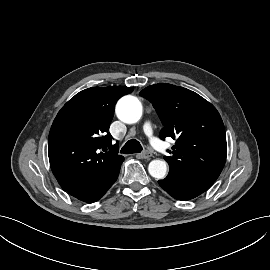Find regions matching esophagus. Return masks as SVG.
Instances as JSON below:
<instances>
[{"instance_id":"esophagus-1","label":"esophagus","mask_w":270,"mask_h":270,"mask_svg":"<svg viewBox=\"0 0 270 270\" xmlns=\"http://www.w3.org/2000/svg\"><path fill=\"white\" fill-rule=\"evenodd\" d=\"M138 156L142 159H149L152 157V153L149 151H144L138 154Z\"/></svg>"}]
</instances>
